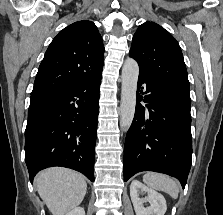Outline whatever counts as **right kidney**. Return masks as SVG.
Listing matches in <instances>:
<instances>
[{"label":"right kidney","instance_id":"ca27d5eb","mask_svg":"<svg viewBox=\"0 0 223 215\" xmlns=\"http://www.w3.org/2000/svg\"><path fill=\"white\" fill-rule=\"evenodd\" d=\"M65 215H85L84 207H74V209H71Z\"/></svg>","mask_w":223,"mask_h":215}]
</instances>
